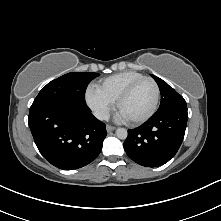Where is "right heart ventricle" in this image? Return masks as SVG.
<instances>
[{"label": "right heart ventricle", "instance_id": "1", "mask_svg": "<svg viewBox=\"0 0 221 221\" xmlns=\"http://www.w3.org/2000/svg\"><path fill=\"white\" fill-rule=\"evenodd\" d=\"M141 77H143V75L139 72L125 71L102 79L96 88L101 94L114 103L130 83Z\"/></svg>", "mask_w": 221, "mask_h": 221}]
</instances>
